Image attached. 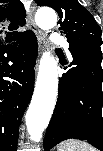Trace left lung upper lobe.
Masks as SVG:
<instances>
[{
	"instance_id": "5c2ea615",
	"label": "left lung upper lobe",
	"mask_w": 103,
	"mask_h": 151,
	"mask_svg": "<svg viewBox=\"0 0 103 151\" xmlns=\"http://www.w3.org/2000/svg\"><path fill=\"white\" fill-rule=\"evenodd\" d=\"M38 6H50L59 15L62 33L70 47L101 46V28L78 0H35ZM69 47V49H70Z\"/></svg>"
}]
</instances>
